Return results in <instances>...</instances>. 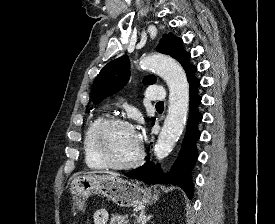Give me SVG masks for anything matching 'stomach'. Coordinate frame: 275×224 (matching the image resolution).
Instances as JSON below:
<instances>
[{
    "mask_svg": "<svg viewBox=\"0 0 275 224\" xmlns=\"http://www.w3.org/2000/svg\"><path fill=\"white\" fill-rule=\"evenodd\" d=\"M76 208L84 211L85 200L91 194H100L120 207L143 206L158 200V191L151 193L138 183L111 175H83L75 177L70 188Z\"/></svg>",
    "mask_w": 275,
    "mask_h": 224,
    "instance_id": "1",
    "label": "stomach"
}]
</instances>
